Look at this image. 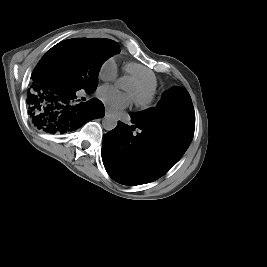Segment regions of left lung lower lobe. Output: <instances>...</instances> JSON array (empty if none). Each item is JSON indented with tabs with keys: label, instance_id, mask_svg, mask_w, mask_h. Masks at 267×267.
I'll return each mask as SVG.
<instances>
[{
	"label": "left lung lower lobe",
	"instance_id": "0a47b994",
	"mask_svg": "<svg viewBox=\"0 0 267 267\" xmlns=\"http://www.w3.org/2000/svg\"><path fill=\"white\" fill-rule=\"evenodd\" d=\"M129 127L118 122L104 136L102 160L112 179L133 185L151 182L168 172L183 156L191 141L176 133L146 127L132 120ZM135 128L141 129L134 134Z\"/></svg>",
	"mask_w": 267,
	"mask_h": 267
}]
</instances>
